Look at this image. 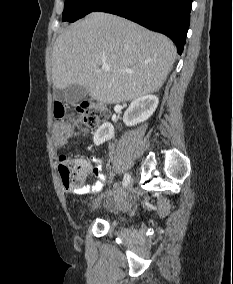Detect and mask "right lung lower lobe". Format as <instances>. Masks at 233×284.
<instances>
[{"instance_id": "98d812e1", "label": "right lung lower lobe", "mask_w": 233, "mask_h": 284, "mask_svg": "<svg viewBox=\"0 0 233 284\" xmlns=\"http://www.w3.org/2000/svg\"><path fill=\"white\" fill-rule=\"evenodd\" d=\"M193 0H107L95 11L112 13L168 36L182 53Z\"/></svg>"}]
</instances>
